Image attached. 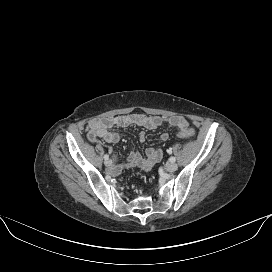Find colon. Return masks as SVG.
Returning <instances> with one entry per match:
<instances>
[{"mask_svg":"<svg viewBox=\"0 0 272 272\" xmlns=\"http://www.w3.org/2000/svg\"><path fill=\"white\" fill-rule=\"evenodd\" d=\"M178 136L184 139H190L195 136V131L188 128L180 129L178 131Z\"/></svg>","mask_w":272,"mask_h":272,"instance_id":"colon-1","label":"colon"}]
</instances>
